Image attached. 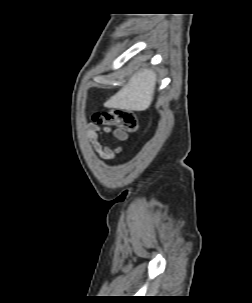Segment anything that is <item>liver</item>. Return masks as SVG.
Here are the masks:
<instances>
[{"instance_id": "1", "label": "liver", "mask_w": 252, "mask_h": 303, "mask_svg": "<svg viewBox=\"0 0 252 303\" xmlns=\"http://www.w3.org/2000/svg\"><path fill=\"white\" fill-rule=\"evenodd\" d=\"M156 80V74L151 69L140 70L104 105L128 111H145L153 100Z\"/></svg>"}]
</instances>
